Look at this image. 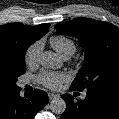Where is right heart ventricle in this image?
I'll return each instance as SVG.
<instances>
[{
  "label": "right heart ventricle",
  "instance_id": "e07e8e85",
  "mask_svg": "<svg viewBox=\"0 0 119 119\" xmlns=\"http://www.w3.org/2000/svg\"><path fill=\"white\" fill-rule=\"evenodd\" d=\"M50 44L64 58L72 56L76 51L75 42L64 35L52 36Z\"/></svg>",
  "mask_w": 119,
  "mask_h": 119
}]
</instances>
